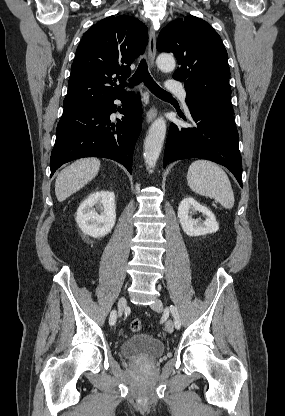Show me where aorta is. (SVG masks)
<instances>
[{
    "instance_id": "762f6f07",
    "label": "aorta",
    "mask_w": 285,
    "mask_h": 416,
    "mask_svg": "<svg viewBox=\"0 0 285 416\" xmlns=\"http://www.w3.org/2000/svg\"><path fill=\"white\" fill-rule=\"evenodd\" d=\"M158 68L163 72H171L175 68L174 57L160 54L156 60ZM166 135V122L164 118H157L150 126L144 142V160L147 168H154L163 147Z\"/></svg>"
}]
</instances>
